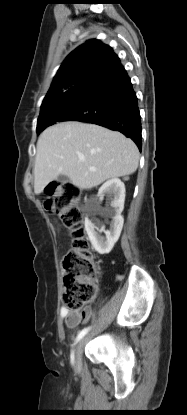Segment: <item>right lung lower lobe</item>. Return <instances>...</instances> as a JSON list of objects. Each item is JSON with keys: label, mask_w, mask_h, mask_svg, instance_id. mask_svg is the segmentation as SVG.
<instances>
[{"label": "right lung lower lobe", "mask_w": 187, "mask_h": 415, "mask_svg": "<svg viewBox=\"0 0 187 415\" xmlns=\"http://www.w3.org/2000/svg\"><path fill=\"white\" fill-rule=\"evenodd\" d=\"M50 116V125L81 121L117 130L142 149L138 99L119 58L77 83Z\"/></svg>", "instance_id": "obj_1"}]
</instances>
